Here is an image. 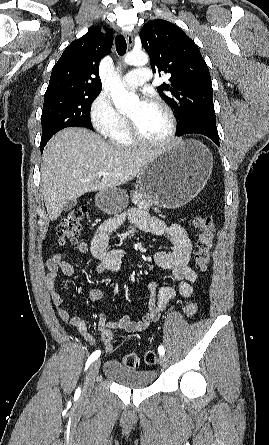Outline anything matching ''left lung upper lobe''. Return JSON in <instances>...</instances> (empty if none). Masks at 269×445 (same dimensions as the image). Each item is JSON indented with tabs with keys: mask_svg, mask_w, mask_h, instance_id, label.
Returning <instances> with one entry per match:
<instances>
[{
	"mask_svg": "<svg viewBox=\"0 0 269 445\" xmlns=\"http://www.w3.org/2000/svg\"><path fill=\"white\" fill-rule=\"evenodd\" d=\"M140 38L153 72L171 75L157 90L177 113L180 131L199 121L216 122L209 69L194 41L160 19L146 23Z\"/></svg>",
	"mask_w": 269,
	"mask_h": 445,
	"instance_id": "1",
	"label": "left lung upper lobe"
}]
</instances>
